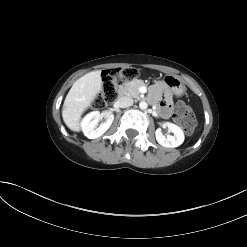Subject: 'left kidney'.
Listing matches in <instances>:
<instances>
[{
  "mask_svg": "<svg viewBox=\"0 0 247 247\" xmlns=\"http://www.w3.org/2000/svg\"><path fill=\"white\" fill-rule=\"evenodd\" d=\"M163 125L167 126L169 131L174 133V136L168 135L167 137H165L161 129L158 128L155 132L157 142L163 147H168V148H174L180 146L184 142V138H185L183 130L179 126L173 123L166 122Z\"/></svg>",
  "mask_w": 247,
  "mask_h": 247,
  "instance_id": "5707ae66",
  "label": "left kidney"
}]
</instances>
